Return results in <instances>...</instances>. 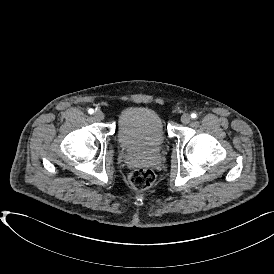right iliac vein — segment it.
<instances>
[{
  "label": "right iliac vein",
  "instance_id": "63e3f726",
  "mask_svg": "<svg viewBox=\"0 0 274 274\" xmlns=\"http://www.w3.org/2000/svg\"><path fill=\"white\" fill-rule=\"evenodd\" d=\"M104 117H105V116H104V113H103L102 111H100V110L95 111V113H94V118H95L96 120H98V121L103 120Z\"/></svg>",
  "mask_w": 274,
  "mask_h": 274
}]
</instances>
